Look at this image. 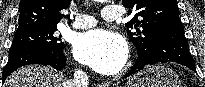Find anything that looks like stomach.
Instances as JSON below:
<instances>
[{
    "mask_svg": "<svg viewBox=\"0 0 205 87\" xmlns=\"http://www.w3.org/2000/svg\"><path fill=\"white\" fill-rule=\"evenodd\" d=\"M124 87H181V81L171 69L154 65L133 75Z\"/></svg>",
    "mask_w": 205,
    "mask_h": 87,
    "instance_id": "stomach-1",
    "label": "stomach"
}]
</instances>
